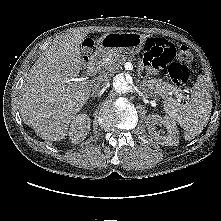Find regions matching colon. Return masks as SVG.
<instances>
[{
    "instance_id": "5ec220e1",
    "label": "colon",
    "mask_w": 221,
    "mask_h": 221,
    "mask_svg": "<svg viewBox=\"0 0 221 221\" xmlns=\"http://www.w3.org/2000/svg\"><path fill=\"white\" fill-rule=\"evenodd\" d=\"M92 47V42L87 41L84 47L85 56L91 52ZM145 50V61L155 68L168 66L169 76L176 86L183 87L189 82L192 70L187 63L192 60L193 55L187 45L176 47L167 40L163 44L152 45L148 40Z\"/></svg>"
}]
</instances>
